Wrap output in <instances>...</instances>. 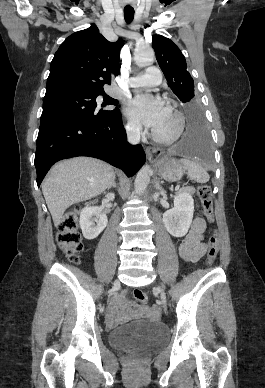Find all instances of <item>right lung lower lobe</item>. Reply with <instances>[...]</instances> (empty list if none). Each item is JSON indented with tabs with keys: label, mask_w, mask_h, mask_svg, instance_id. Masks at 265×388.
I'll list each match as a JSON object with an SVG mask.
<instances>
[{
	"label": "right lung lower lobe",
	"mask_w": 265,
	"mask_h": 388,
	"mask_svg": "<svg viewBox=\"0 0 265 388\" xmlns=\"http://www.w3.org/2000/svg\"><path fill=\"white\" fill-rule=\"evenodd\" d=\"M74 156L102 159L134 175L145 162L141 145L126 141L122 116L107 120L62 118L40 125L35 153L37 185L57 161Z\"/></svg>",
	"instance_id": "right-lung-lower-lobe-1"
}]
</instances>
